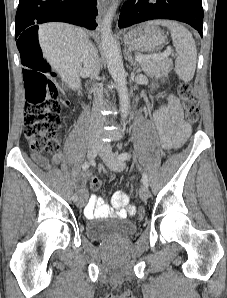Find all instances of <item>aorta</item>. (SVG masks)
Masks as SVG:
<instances>
[{"label":"aorta","instance_id":"762f6f07","mask_svg":"<svg viewBox=\"0 0 227 298\" xmlns=\"http://www.w3.org/2000/svg\"><path fill=\"white\" fill-rule=\"evenodd\" d=\"M117 6L118 2L113 3L102 20L101 41L108 71L117 86L121 116L123 119H126L129 109V95L126 81L127 73L124 69L122 56L111 29Z\"/></svg>","mask_w":227,"mask_h":298}]
</instances>
